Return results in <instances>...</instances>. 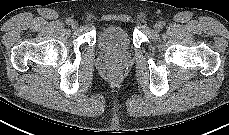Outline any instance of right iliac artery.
<instances>
[{
  "label": "right iliac artery",
  "mask_w": 229,
  "mask_h": 135,
  "mask_svg": "<svg viewBox=\"0 0 229 135\" xmlns=\"http://www.w3.org/2000/svg\"><path fill=\"white\" fill-rule=\"evenodd\" d=\"M72 21H73V20H72L71 18H68V19L66 20V23H67L68 25H70Z\"/></svg>",
  "instance_id": "82829eb1"
}]
</instances>
